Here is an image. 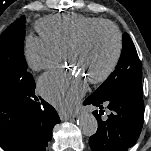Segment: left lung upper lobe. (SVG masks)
<instances>
[{
	"label": "left lung upper lobe",
	"mask_w": 151,
	"mask_h": 151,
	"mask_svg": "<svg viewBox=\"0 0 151 151\" xmlns=\"http://www.w3.org/2000/svg\"><path fill=\"white\" fill-rule=\"evenodd\" d=\"M132 80H142L141 62L131 38L124 33L122 52L116 69L91 96L109 97Z\"/></svg>",
	"instance_id": "obj_1"
}]
</instances>
